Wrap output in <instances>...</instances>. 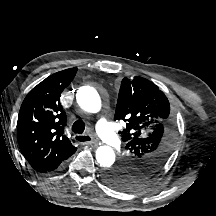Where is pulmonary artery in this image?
Segmentation results:
<instances>
[{
  "label": "pulmonary artery",
  "mask_w": 216,
  "mask_h": 216,
  "mask_svg": "<svg viewBox=\"0 0 216 216\" xmlns=\"http://www.w3.org/2000/svg\"><path fill=\"white\" fill-rule=\"evenodd\" d=\"M96 130L100 137L110 146H117L120 140L113 130L111 124L103 117L99 118L96 123Z\"/></svg>",
  "instance_id": "obj_1"
}]
</instances>
